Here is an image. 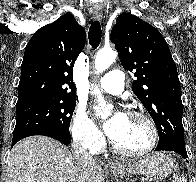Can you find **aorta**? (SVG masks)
Segmentation results:
<instances>
[{"instance_id": "1", "label": "aorta", "mask_w": 196, "mask_h": 182, "mask_svg": "<svg viewBox=\"0 0 196 182\" xmlns=\"http://www.w3.org/2000/svg\"><path fill=\"white\" fill-rule=\"evenodd\" d=\"M116 57H117L116 51H114L110 48L109 49L104 48V49L98 51L96 58H95V62H94L96 72L98 74L103 72L116 60ZM96 94L98 95V99H99L100 104L102 106L101 118L107 119L111 113L113 106L106 105V103L102 97L101 91L98 88H96Z\"/></svg>"}]
</instances>
